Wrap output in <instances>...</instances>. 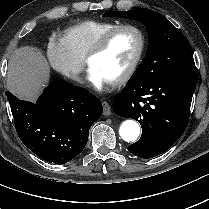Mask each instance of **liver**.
<instances>
[{"label":"liver","instance_id":"6515ba94","mask_svg":"<svg viewBox=\"0 0 209 209\" xmlns=\"http://www.w3.org/2000/svg\"><path fill=\"white\" fill-rule=\"evenodd\" d=\"M50 77L43 53L32 46L16 49L8 63L7 88L21 99L34 101Z\"/></svg>","mask_w":209,"mask_h":209}]
</instances>
